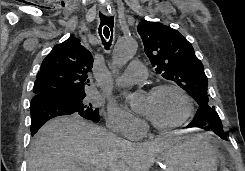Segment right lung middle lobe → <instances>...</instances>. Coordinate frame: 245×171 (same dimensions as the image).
<instances>
[{"label": "right lung middle lobe", "mask_w": 245, "mask_h": 171, "mask_svg": "<svg viewBox=\"0 0 245 171\" xmlns=\"http://www.w3.org/2000/svg\"><path fill=\"white\" fill-rule=\"evenodd\" d=\"M85 96L86 94L77 96L56 95L53 99L67 105L84 118L99 121V110L93 108L91 104H87L84 101Z\"/></svg>", "instance_id": "right-lung-middle-lobe-1"}]
</instances>
